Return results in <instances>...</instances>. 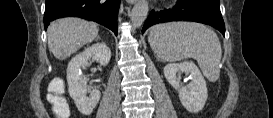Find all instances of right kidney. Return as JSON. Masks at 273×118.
<instances>
[{
  "label": "right kidney",
  "instance_id": "ca27d5eb",
  "mask_svg": "<svg viewBox=\"0 0 273 118\" xmlns=\"http://www.w3.org/2000/svg\"><path fill=\"white\" fill-rule=\"evenodd\" d=\"M91 58L106 66L110 61L111 51L105 43L94 44L72 58L67 67L69 94L79 111L86 115L92 113L101 96L99 90L90 91L87 89V79L82 74V69L87 67ZM87 93L90 95L87 96Z\"/></svg>",
  "mask_w": 273,
  "mask_h": 118
}]
</instances>
